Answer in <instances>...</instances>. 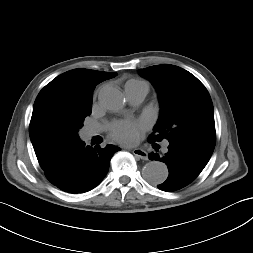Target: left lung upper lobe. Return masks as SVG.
<instances>
[{
	"instance_id": "left-lung-upper-lobe-1",
	"label": "left lung upper lobe",
	"mask_w": 253,
	"mask_h": 253,
	"mask_svg": "<svg viewBox=\"0 0 253 253\" xmlns=\"http://www.w3.org/2000/svg\"><path fill=\"white\" fill-rule=\"evenodd\" d=\"M156 88L161 112L149 141L187 140L215 147L211 97L190 72L174 65H156L139 71Z\"/></svg>"
}]
</instances>
